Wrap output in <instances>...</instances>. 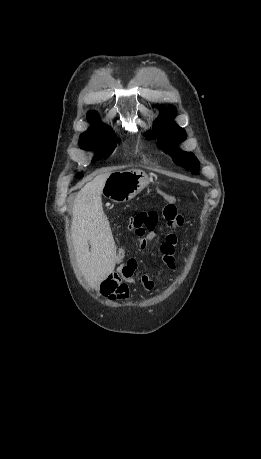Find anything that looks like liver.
<instances>
[{
  "label": "liver",
  "instance_id": "6515ba94",
  "mask_svg": "<svg viewBox=\"0 0 261 459\" xmlns=\"http://www.w3.org/2000/svg\"><path fill=\"white\" fill-rule=\"evenodd\" d=\"M111 173L110 169L101 171L87 182L78 192L73 206L71 236L77 263L95 289H99L116 264V246L101 198Z\"/></svg>",
  "mask_w": 261,
  "mask_h": 459
}]
</instances>
